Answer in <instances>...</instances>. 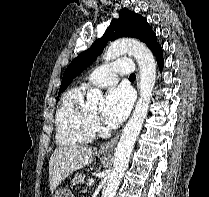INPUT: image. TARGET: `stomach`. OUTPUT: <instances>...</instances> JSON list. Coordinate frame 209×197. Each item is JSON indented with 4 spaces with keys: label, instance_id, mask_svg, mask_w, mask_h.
<instances>
[{
    "label": "stomach",
    "instance_id": "0dacf381",
    "mask_svg": "<svg viewBox=\"0 0 209 197\" xmlns=\"http://www.w3.org/2000/svg\"><path fill=\"white\" fill-rule=\"evenodd\" d=\"M52 197H74L72 192L67 189H60Z\"/></svg>",
    "mask_w": 209,
    "mask_h": 197
}]
</instances>
